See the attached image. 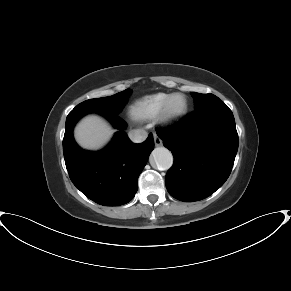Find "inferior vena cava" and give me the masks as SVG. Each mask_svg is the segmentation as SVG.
I'll return each instance as SVG.
<instances>
[{"instance_id": "602c4592", "label": "inferior vena cava", "mask_w": 291, "mask_h": 291, "mask_svg": "<svg viewBox=\"0 0 291 291\" xmlns=\"http://www.w3.org/2000/svg\"><path fill=\"white\" fill-rule=\"evenodd\" d=\"M128 136L132 142L141 143L147 138L148 133L144 129H134L128 133Z\"/></svg>"}]
</instances>
